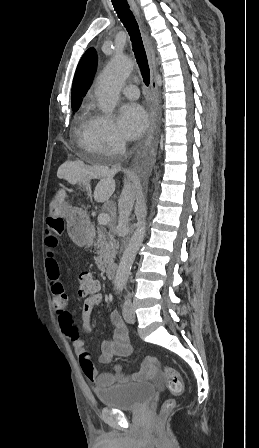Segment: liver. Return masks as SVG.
<instances>
[{
  "mask_svg": "<svg viewBox=\"0 0 259 448\" xmlns=\"http://www.w3.org/2000/svg\"><path fill=\"white\" fill-rule=\"evenodd\" d=\"M58 176H61V178H65V180H68V182H72V184L81 182L83 186H89L90 180H93V178H99L101 182H99L97 190H101V188H103L107 196V200L109 198L110 188H115V182L114 180H112L114 172L101 174L99 170H96V168H92V166H85V164H83V162H80V160H77V162H66L64 168H62V170H58ZM65 196V190H59L56 202L60 210H63V208H61V204H63ZM107 200H104V202H107ZM64 210H66V208H64Z\"/></svg>",
  "mask_w": 259,
  "mask_h": 448,
  "instance_id": "liver-1",
  "label": "liver"
}]
</instances>
